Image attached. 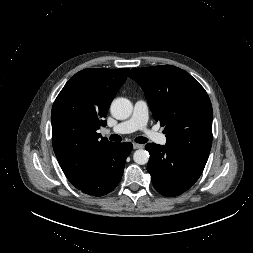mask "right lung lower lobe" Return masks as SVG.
<instances>
[{
  "label": "right lung lower lobe",
  "mask_w": 253,
  "mask_h": 253,
  "mask_svg": "<svg viewBox=\"0 0 253 253\" xmlns=\"http://www.w3.org/2000/svg\"><path fill=\"white\" fill-rule=\"evenodd\" d=\"M132 150L130 142L111 143L106 146L86 174L72 183L91 196H103L113 191L120 182L126 158Z\"/></svg>",
  "instance_id": "obj_1"
}]
</instances>
